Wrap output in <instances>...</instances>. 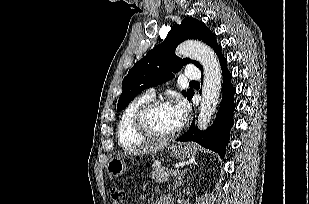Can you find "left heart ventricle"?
<instances>
[{"mask_svg":"<svg viewBox=\"0 0 309 204\" xmlns=\"http://www.w3.org/2000/svg\"><path fill=\"white\" fill-rule=\"evenodd\" d=\"M148 125L152 131L164 134L176 129L180 123L173 105L160 106L148 116Z\"/></svg>","mask_w":309,"mask_h":204,"instance_id":"left-heart-ventricle-1","label":"left heart ventricle"}]
</instances>
